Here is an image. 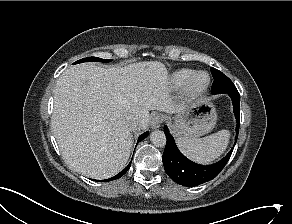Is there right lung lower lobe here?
<instances>
[{
    "label": "right lung lower lobe",
    "instance_id": "1",
    "mask_svg": "<svg viewBox=\"0 0 292 224\" xmlns=\"http://www.w3.org/2000/svg\"><path fill=\"white\" fill-rule=\"evenodd\" d=\"M148 134H149V132H145V133L141 134L140 137L138 138L137 142H140L141 140L145 139L148 136ZM130 165H131V162L129 163V165L124 170H122L116 176H114V177H112L110 179L101 180V181H112V180L119 179L120 177H122L128 171V169L130 168Z\"/></svg>",
    "mask_w": 292,
    "mask_h": 224
}]
</instances>
